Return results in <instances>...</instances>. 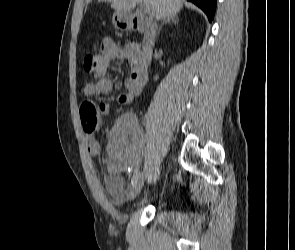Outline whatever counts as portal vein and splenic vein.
<instances>
[{"label":"portal vein and splenic vein","mask_w":295,"mask_h":250,"mask_svg":"<svg viewBox=\"0 0 295 250\" xmlns=\"http://www.w3.org/2000/svg\"><path fill=\"white\" fill-rule=\"evenodd\" d=\"M143 8H144L145 13H147L149 15L153 14L152 8L149 5L143 3Z\"/></svg>","instance_id":"18ae733b"}]
</instances>
